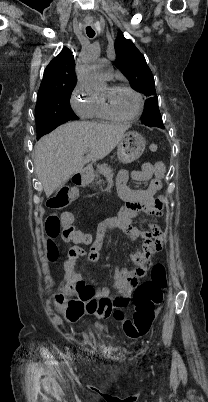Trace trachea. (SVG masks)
<instances>
[{
	"label": "trachea",
	"instance_id": "3493384b",
	"mask_svg": "<svg viewBox=\"0 0 208 402\" xmlns=\"http://www.w3.org/2000/svg\"><path fill=\"white\" fill-rule=\"evenodd\" d=\"M86 34L88 37L92 38L95 36V32L91 27H86Z\"/></svg>",
	"mask_w": 208,
	"mask_h": 402
}]
</instances>
